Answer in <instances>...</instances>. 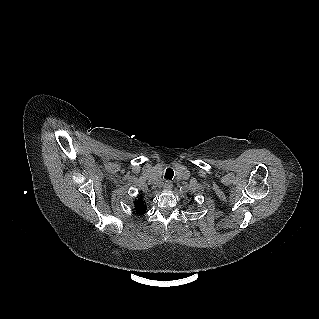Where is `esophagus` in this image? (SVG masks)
<instances>
[{"label":"esophagus","mask_w":319,"mask_h":319,"mask_svg":"<svg viewBox=\"0 0 319 319\" xmlns=\"http://www.w3.org/2000/svg\"><path fill=\"white\" fill-rule=\"evenodd\" d=\"M172 186H173L172 182H171V181H167V182L164 184L163 188H164V190H171V189H172Z\"/></svg>","instance_id":"obj_1"}]
</instances>
